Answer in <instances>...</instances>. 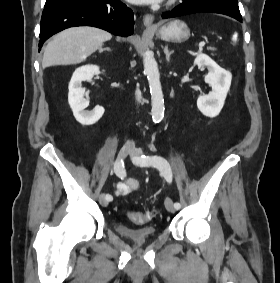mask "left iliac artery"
<instances>
[{
  "mask_svg": "<svg viewBox=\"0 0 280 283\" xmlns=\"http://www.w3.org/2000/svg\"><path fill=\"white\" fill-rule=\"evenodd\" d=\"M139 164L142 166H154L156 167L161 174L165 177L167 182L171 183L172 181V171L169 162L161 157V156H145L142 155L141 157L138 158ZM174 207L176 209H179L181 207L180 203L176 202L174 203Z\"/></svg>",
  "mask_w": 280,
  "mask_h": 283,
  "instance_id": "obj_1",
  "label": "left iliac artery"
}]
</instances>
